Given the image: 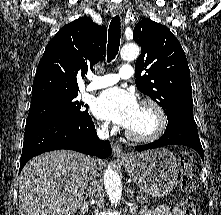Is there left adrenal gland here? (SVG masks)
<instances>
[{"instance_id":"left-adrenal-gland-1","label":"left adrenal gland","mask_w":221,"mask_h":215,"mask_svg":"<svg viewBox=\"0 0 221 215\" xmlns=\"http://www.w3.org/2000/svg\"><path fill=\"white\" fill-rule=\"evenodd\" d=\"M127 195H129L132 199H133V192L131 190V188L128 186V190H127Z\"/></svg>"}]
</instances>
